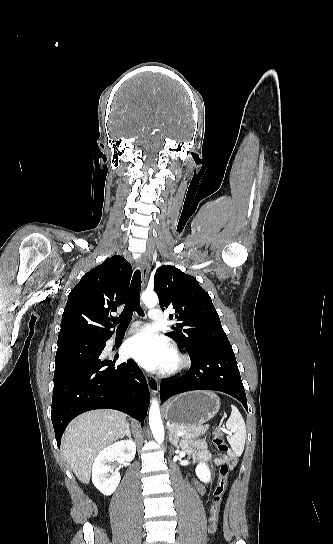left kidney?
I'll use <instances>...</instances> for the list:
<instances>
[{
	"mask_svg": "<svg viewBox=\"0 0 333 544\" xmlns=\"http://www.w3.org/2000/svg\"><path fill=\"white\" fill-rule=\"evenodd\" d=\"M195 472H196V475L197 477L202 481V482H210L211 481V473H210V469L208 467V465L204 462H200L196 469H195Z\"/></svg>",
	"mask_w": 333,
	"mask_h": 544,
	"instance_id": "obj_1",
	"label": "left kidney"
}]
</instances>
